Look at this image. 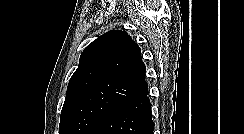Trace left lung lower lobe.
<instances>
[{
    "mask_svg": "<svg viewBox=\"0 0 244 134\" xmlns=\"http://www.w3.org/2000/svg\"><path fill=\"white\" fill-rule=\"evenodd\" d=\"M147 94L133 98L118 107L96 134H153L154 122Z\"/></svg>",
    "mask_w": 244,
    "mask_h": 134,
    "instance_id": "left-lung-lower-lobe-1",
    "label": "left lung lower lobe"
}]
</instances>
